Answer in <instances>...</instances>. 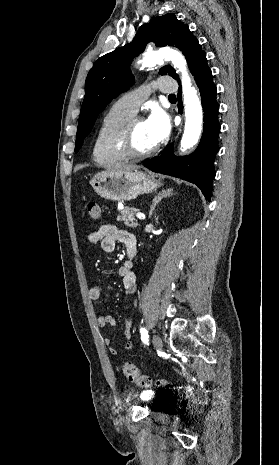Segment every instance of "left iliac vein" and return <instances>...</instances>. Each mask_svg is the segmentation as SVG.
Instances as JSON below:
<instances>
[{
    "mask_svg": "<svg viewBox=\"0 0 279 465\" xmlns=\"http://www.w3.org/2000/svg\"><path fill=\"white\" fill-rule=\"evenodd\" d=\"M153 345L157 350L162 349V346H163L162 339L157 334L153 336Z\"/></svg>",
    "mask_w": 279,
    "mask_h": 465,
    "instance_id": "4c4485c4",
    "label": "left iliac vein"
}]
</instances>
